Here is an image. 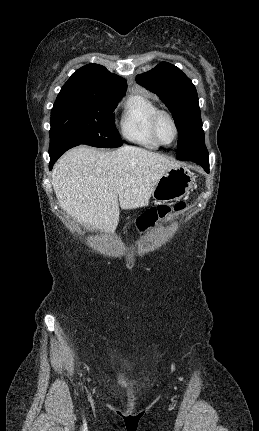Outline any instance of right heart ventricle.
Masks as SVG:
<instances>
[{
    "mask_svg": "<svg viewBox=\"0 0 259 431\" xmlns=\"http://www.w3.org/2000/svg\"><path fill=\"white\" fill-rule=\"evenodd\" d=\"M157 109V104L146 95L134 94L128 97L119 119L122 136L140 146L158 147L151 131V118Z\"/></svg>",
    "mask_w": 259,
    "mask_h": 431,
    "instance_id": "obj_1",
    "label": "right heart ventricle"
}]
</instances>
